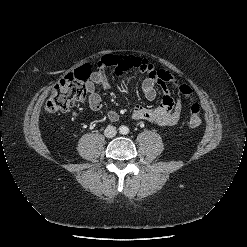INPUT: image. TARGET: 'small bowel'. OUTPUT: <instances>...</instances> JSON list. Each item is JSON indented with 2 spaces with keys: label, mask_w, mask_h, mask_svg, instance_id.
<instances>
[{
  "label": "small bowel",
  "mask_w": 247,
  "mask_h": 247,
  "mask_svg": "<svg viewBox=\"0 0 247 247\" xmlns=\"http://www.w3.org/2000/svg\"><path fill=\"white\" fill-rule=\"evenodd\" d=\"M113 67L118 76L123 75L129 69L136 68L146 75L142 82V92L145 98L153 101L157 97V86L163 92L160 104L155 108L136 106L132 111V118L135 120L149 121L160 126H174L181 117L183 103L180 98L174 100L167 87L168 84L175 88L179 87L177 80L166 70L156 69L146 58L134 55H104L98 63V68L91 73L89 80L85 83V88L89 93L88 103L93 111H98L102 107V100L97 88L107 90L110 87L105 69ZM110 121H117L119 113L110 110L107 113Z\"/></svg>",
  "instance_id": "small-bowel-1"
}]
</instances>
